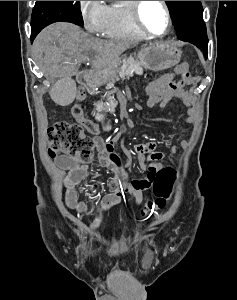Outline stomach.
Instances as JSON below:
<instances>
[{
	"label": "stomach",
	"mask_w": 237,
	"mask_h": 300,
	"mask_svg": "<svg viewBox=\"0 0 237 300\" xmlns=\"http://www.w3.org/2000/svg\"><path fill=\"white\" fill-rule=\"evenodd\" d=\"M182 51L174 45V43H165V41H156L150 47H144L137 53L142 67L149 69V71H164V69H171L180 63ZM121 65V59L114 61L112 65H107L105 69L100 71L98 77V87L107 83L111 77H116L117 71Z\"/></svg>",
	"instance_id": "0dacf381"
}]
</instances>
